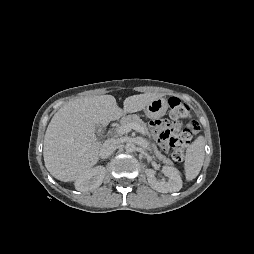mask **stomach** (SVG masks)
Here are the masks:
<instances>
[{"instance_id":"0dacf381","label":"stomach","mask_w":254,"mask_h":254,"mask_svg":"<svg viewBox=\"0 0 254 254\" xmlns=\"http://www.w3.org/2000/svg\"><path fill=\"white\" fill-rule=\"evenodd\" d=\"M168 109V102L165 98L159 97L150 102L144 112L150 119H159L163 117Z\"/></svg>"}]
</instances>
